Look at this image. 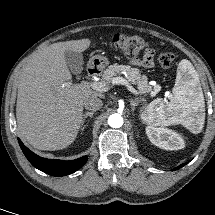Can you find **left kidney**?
<instances>
[{
  "label": "left kidney",
  "mask_w": 215,
  "mask_h": 215,
  "mask_svg": "<svg viewBox=\"0 0 215 215\" xmlns=\"http://www.w3.org/2000/svg\"><path fill=\"white\" fill-rule=\"evenodd\" d=\"M146 133L149 140L159 148L165 150H179L185 146L183 138L170 129L148 126L146 128Z\"/></svg>",
  "instance_id": "1"
}]
</instances>
